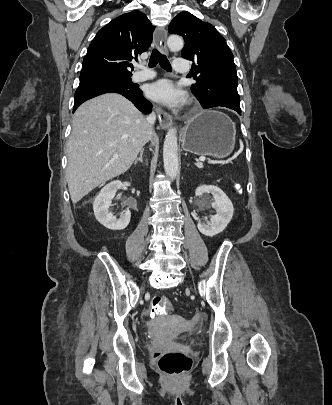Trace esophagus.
Instances as JSON below:
<instances>
[{
    "instance_id": "esophagus-1",
    "label": "esophagus",
    "mask_w": 332,
    "mask_h": 405,
    "mask_svg": "<svg viewBox=\"0 0 332 405\" xmlns=\"http://www.w3.org/2000/svg\"><path fill=\"white\" fill-rule=\"evenodd\" d=\"M154 43L161 50L162 53L168 54L166 45L167 31L164 28H158L154 32ZM158 121L163 129H168L172 125V117L169 113L161 108H157Z\"/></svg>"
}]
</instances>
